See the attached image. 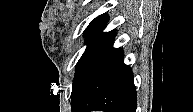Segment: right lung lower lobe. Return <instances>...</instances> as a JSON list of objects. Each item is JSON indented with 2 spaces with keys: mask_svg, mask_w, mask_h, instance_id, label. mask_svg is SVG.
Listing matches in <instances>:
<instances>
[{
  "mask_svg": "<svg viewBox=\"0 0 193 112\" xmlns=\"http://www.w3.org/2000/svg\"><path fill=\"white\" fill-rule=\"evenodd\" d=\"M114 38L87 65L73 86L72 112H136L133 73L123 62V50Z\"/></svg>",
  "mask_w": 193,
  "mask_h": 112,
  "instance_id": "98d812e1",
  "label": "right lung lower lobe"
}]
</instances>
